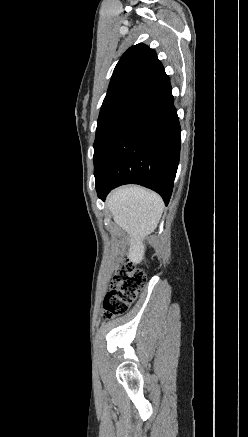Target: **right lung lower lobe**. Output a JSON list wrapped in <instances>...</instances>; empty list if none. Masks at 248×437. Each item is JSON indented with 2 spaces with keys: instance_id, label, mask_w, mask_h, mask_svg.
Masks as SVG:
<instances>
[{
  "instance_id": "obj_1",
  "label": "right lung lower lobe",
  "mask_w": 248,
  "mask_h": 437,
  "mask_svg": "<svg viewBox=\"0 0 248 437\" xmlns=\"http://www.w3.org/2000/svg\"><path fill=\"white\" fill-rule=\"evenodd\" d=\"M180 124L170 79L163 71L137 96L95 163L98 197L123 184H139L167 205L180 158Z\"/></svg>"
}]
</instances>
